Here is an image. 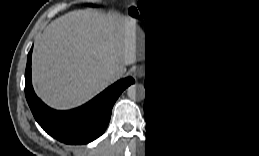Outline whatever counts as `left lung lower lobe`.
I'll list each match as a JSON object with an SVG mask.
<instances>
[{
    "label": "left lung lower lobe",
    "mask_w": 259,
    "mask_h": 156,
    "mask_svg": "<svg viewBox=\"0 0 259 156\" xmlns=\"http://www.w3.org/2000/svg\"><path fill=\"white\" fill-rule=\"evenodd\" d=\"M144 87L146 123L166 141H183L192 131L200 130L207 121L206 112L214 106L212 96L207 92L197 100L196 104L201 107L192 110L194 104L190 105L188 100L182 98L179 89L168 78L165 84L159 78H147Z\"/></svg>",
    "instance_id": "obj_1"
}]
</instances>
